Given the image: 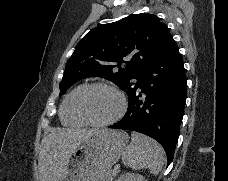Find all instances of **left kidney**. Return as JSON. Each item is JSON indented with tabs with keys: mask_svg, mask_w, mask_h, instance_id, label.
Returning <instances> with one entry per match:
<instances>
[{
	"mask_svg": "<svg viewBox=\"0 0 228 181\" xmlns=\"http://www.w3.org/2000/svg\"><path fill=\"white\" fill-rule=\"evenodd\" d=\"M117 181H147L142 175H135V173H125L121 175Z\"/></svg>",
	"mask_w": 228,
	"mask_h": 181,
	"instance_id": "5707ae66",
	"label": "left kidney"
}]
</instances>
